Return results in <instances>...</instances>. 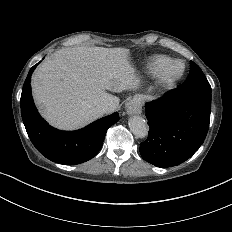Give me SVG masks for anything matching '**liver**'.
Segmentation results:
<instances>
[{"instance_id": "liver-1", "label": "liver", "mask_w": 232, "mask_h": 232, "mask_svg": "<svg viewBox=\"0 0 232 232\" xmlns=\"http://www.w3.org/2000/svg\"><path fill=\"white\" fill-rule=\"evenodd\" d=\"M130 51L121 48H63L49 56L32 77L41 113L60 128L80 127L100 117L98 106L118 98L109 92L138 91Z\"/></svg>"}]
</instances>
